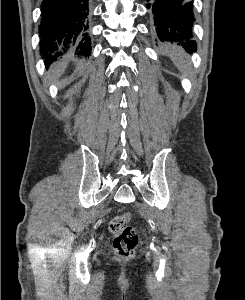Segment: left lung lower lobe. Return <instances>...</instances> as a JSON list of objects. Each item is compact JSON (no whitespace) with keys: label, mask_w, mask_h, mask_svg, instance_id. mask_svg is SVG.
<instances>
[{"label":"left lung lower lobe","mask_w":245,"mask_h":300,"mask_svg":"<svg viewBox=\"0 0 245 300\" xmlns=\"http://www.w3.org/2000/svg\"><path fill=\"white\" fill-rule=\"evenodd\" d=\"M147 8L154 14V26L162 43L182 46L192 53L197 49L196 42L190 40L191 24L194 21L190 0H147Z\"/></svg>","instance_id":"obj_1"}]
</instances>
